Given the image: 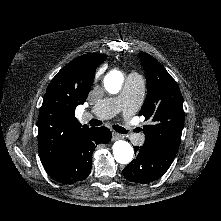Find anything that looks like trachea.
<instances>
[{"label": "trachea", "instance_id": "obj_1", "mask_svg": "<svg viewBox=\"0 0 221 221\" xmlns=\"http://www.w3.org/2000/svg\"><path fill=\"white\" fill-rule=\"evenodd\" d=\"M89 124H90L91 126H99V125H101V121H100V120H97V119H92V120L89 122ZM113 129H114L116 132H119V133H122V134H126V133L128 132L125 128H123V127H121V126H119V125H114V126H113ZM135 131H136V129H135Z\"/></svg>", "mask_w": 221, "mask_h": 221}]
</instances>
